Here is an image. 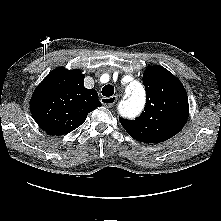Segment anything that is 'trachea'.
<instances>
[{
    "label": "trachea",
    "mask_w": 221,
    "mask_h": 221,
    "mask_svg": "<svg viewBox=\"0 0 221 221\" xmlns=\"http://www.w3.org/2000/svg\"><path fill=\"white\" fill-rule=\"evenodd\" d=\"M113 94H114V87L112 85L108 84L102 88V95L103 96L110 97Z\"/></svg>",
    "instance_id": "obj_1"
}]
</instances>
